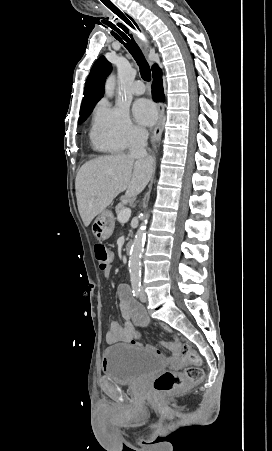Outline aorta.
<instances>
[{
	"mask_svg": "<svg viewBox=\"0 0 272 451\" xmlns=\"http://www.w3.org/2000/svg\"><path fill=\"white\" fill-rule=\"evenodd\" d=\"M115 82V76H112L111 74L105 84V94L107 98H112V96H114ZM145 218H149V214H146ZM145 227V220H143V224L137 229L133 239L128 263L131 281H140L141 279V253L144 247Z\"/></svg>",
	"mask_w": 272,
	"mask_h": 451,
	"instance_id": "762f6f07",
	"label": "aorta"
}]
</instances>
